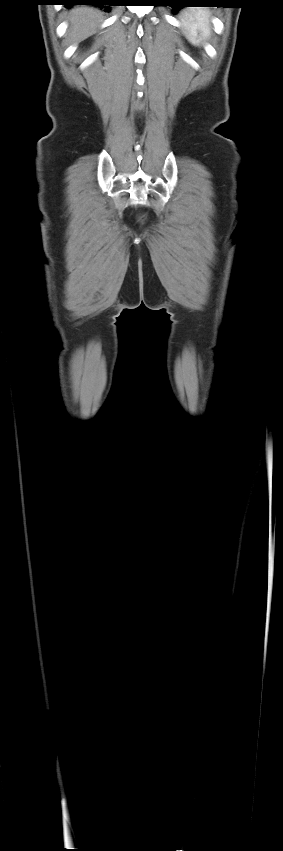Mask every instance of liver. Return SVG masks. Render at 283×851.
<instances>
[{
  "label": "liver",
  "mask_w": 283,
  "mask_h": 851,
  "mask_svg": "<svg viewBox=\"0 0 283 851\" xmlns=\"http://www.w3.org/2000/svg\"><path fill=\"white\" fill-rule=\"evenodd\" d=\"M102 12L92 7H75L68 16L67 43L76 44L93 35L102 22Z\"/></svg>",
  "instance_id": "1"
}]
</instances>
